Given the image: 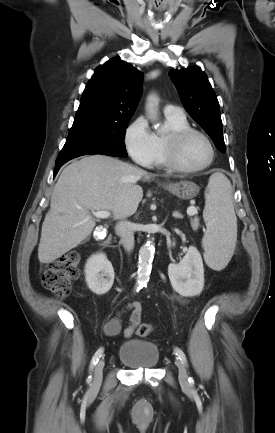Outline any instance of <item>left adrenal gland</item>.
Returning a JSON list of instances; mask_svg holds the SVG:
<instances>
[{"label": "left adrenal gland", "mask_w": 275, "mask_h": 433, "mask_svg": "<svg viewBox=\"0 0 275 433\" xmlns=\"http://www.w3.org/2000/svg\"><path fill=\"white\" fill-rule=\"evenodd\" d=\"M173 217L174 218H182V216H181V214L179 213V212H177V211H175L174 213H173Z\"/></svg>", "instance_id": "left-adrenal-gland-1"}]
</instances>
